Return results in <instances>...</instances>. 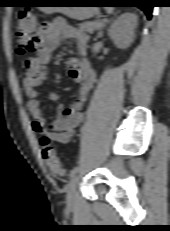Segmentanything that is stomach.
Here are the masks:
<instances>
[{"instance_id": "1", "label": "stomach", "mask_w": 170, "mask_h": 231, "mask_svg": "<svg viewBox=\"0 0 170 231\" xmlns=\"http://www.w3.org/2000/svg\"><path fill=\"white\" fill-rule=\"evenodd\" d=\"M43 4H74L75 1L70 0H46L42 1ZM59 6V5H56ZM78 5H70L69 7H39V9L45 13L60 12L71 18L75 19H87L93 15L89 8L77 7Z\"/></svg>"}]
</instances>
